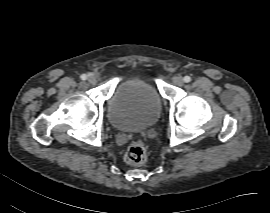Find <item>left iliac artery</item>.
Wrapping results in <instances>:
<instances>
[{"instance_id":"left-iliac-artery-1","label":"left iliac artery","mask_w":270,"mask_h":213,"mask_svg":"<svg viewBox=\"0 0 270 213\" xmlns=\"http://www.w3.org/2000/svg\"><path fill=\"white\" fill-rule=\"evenodd\" d=\"M183 80H184V82L188 83V82L191 81V77L190 76H185Z\"/></svg>"}]
</instances>
